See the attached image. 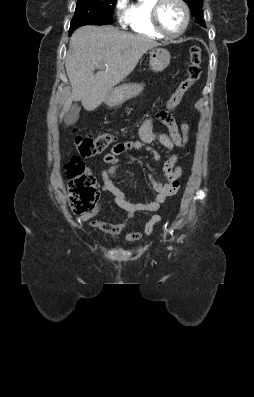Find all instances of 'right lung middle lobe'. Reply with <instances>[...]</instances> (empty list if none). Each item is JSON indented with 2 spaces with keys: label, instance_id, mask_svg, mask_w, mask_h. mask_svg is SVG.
Listing matches in <instances>:
<instances>
[{
  "label": "right lung middle lobe",
  "instance_id": "dd1d6c3e",
  "mask_svg": "<svg viewBox=\"0 0 254 397\" xmlns=\"http://www.w3.org/2000/svg\"><path fill=\"white\" fill-rule=\"evenodd\" d=\"M117 0H78L70 29L83 25H107L112 22Z\"/></svg>",
  "mask_w": 254,
  "mask_h": 397
}]
</instances>
